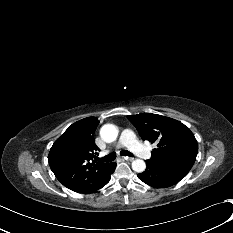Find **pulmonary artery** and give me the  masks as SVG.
Segmentation results:
<instances>
[{"label": "pulmonary artery", "mask_w": 233, "mask_h": 233, "mask_svg": "<svg viewBox=\"0 0 233 233\" xmlns=\"http://www.w3.org/2000/svg\"><path fill=\"white\" fill-rule=\"evenodd\" d=\"M126 147L134 154L138 155L142 158H149L150 152L149 150L140 144L136 138L135 133L130 129H125L122 131L118 144L116 145V149Z\"/></svg>", "instance_id": "obj_1"}]
</instances>
